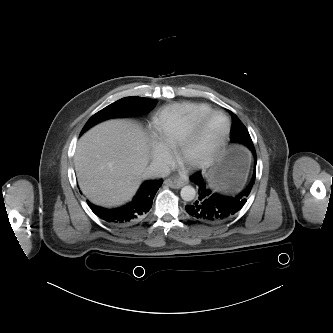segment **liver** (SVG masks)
Wrapping results in <instances>:
<instances>
[{"mask_svg": "<svg viewBox=\"0 0 333 333\" xmlns=\"http://www.w3.org/2000/svg\"><path fill=\"white\" fill-rule=\"evenodd\" d=\"M147 137L141 126L109 120L77 143L74 165L79 186L96 205L112 207L136 192L147 166Z\"/></svg>", "mask_w": 333, "mask_h": 333, "instance_id": "1", "label": "liver"}]
</instances>
